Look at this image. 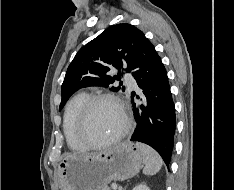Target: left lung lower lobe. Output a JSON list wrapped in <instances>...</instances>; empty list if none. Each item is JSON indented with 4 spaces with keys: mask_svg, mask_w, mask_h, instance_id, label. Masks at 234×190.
I'll return each instance as SVG.
<instances>
[{
    "mask_svg": "<svg viewBox=\"0 0 234 190\" xmlns=\"http://www.w3.org/2000/svg\"><path fill=\"white\" fill-rule=\"evenodd\" d=\"M132 74L142 96L132 92L131 101L137 98L142 103H133L137 127L131 141L154 148L169 167L176 126L175 107L165 67L147 38L140 44Z\"/></svg>",
    "mask_w": 234,
    "mask_h": 190,
    "instance_id": "left-lung-lower-lobe-1",
    "label": "left lung lower lobe"
}]
</instances>
